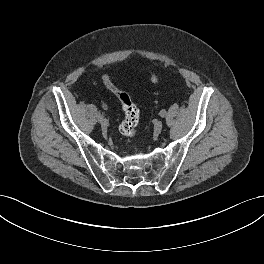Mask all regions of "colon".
<instances>
[{
  "instance_id": "colon-1",
  "label": "colon",
  "mask_w": 264,
  "mask_h": 264,
  "mask_svg": "<svg viewBox=\"0 0 264 264\" xmlns=\"http://www.w3.org/2000/svg\"><path fill=\"white\" fill-rule=\"evenodd\" d=\"M150 80L154 83H158L160 79L151 75ZM102 82L105 88L110 91L121 103L124 111V118L120 123V131L126 137H132L135 135L137 126L139 123V110L136 105L132 102L131 98L127 93L120 90L111 80L110 76L104 74L102 76Z\"/></svg>"
}]
</instances>
